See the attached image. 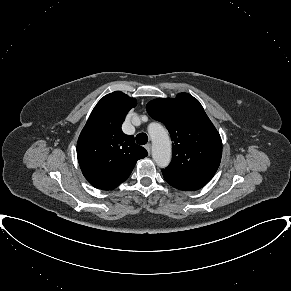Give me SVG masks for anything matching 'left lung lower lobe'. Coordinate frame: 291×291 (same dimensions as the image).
<instances>
[{
  "instance_id": "obj_1",
  "label": "left lung lower lobe",
  "mask_w": 291,
  "mask_h": 291,
  "mask_svg": "<svg viewBox=\"0 0 291 291\" xmlns=\"http://www.w3.org/2000/svg\"><path fill=\"white\" fill-rule=\"evenodd\" d=\"M162 174L164 176V179L166 180L167 183H169L171 186L183 190V191H194L202 188L205 186L207 183L203 182H197V181H192L189 179H185L182 177H178L172 174H169L168 172L162 170Z\"/></svg>"
}]
</instances>
